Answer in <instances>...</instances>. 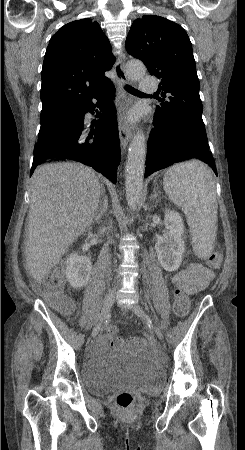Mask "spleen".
Segmentation results:
<instances>
[{
  "mask_svg": "<svg viewBox=\"0 0 245 450\" xmlns=\"http://www.w3.org/2000/svg\"><path fill=\"white\" fill-rule=\"evenodd\" d=\"M163 188L186 215L194 253L207 258L217 232L216 187L211 169L196 160L176 164L166 172Z\"/></svg>",
  "mask_w": 245,
  "mask_h": 450,
  "instance_id": "obj_1",
  "label": "spleen"
}]
</instances>
